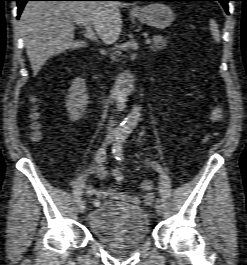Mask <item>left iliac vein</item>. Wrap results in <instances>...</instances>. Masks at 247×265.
Listing matches in <instances>:
<instances>
[{
  "label": "left iliac vein",
  "instance_id": "4c4485c4",
  "mask_svg": "<svg viewBox=\"0 0 247 265\" xmlns=\"http://www.w3.org/2000/svg\"><path fill=\"white\" fill-rule=\"evenodd\" d=\"M155 209H156L157 214H161L162 205L159 199H157L155 202Z\"/></svg>",
  "mask_w": 247,
  "mask_h": 265
}]
</instances>
